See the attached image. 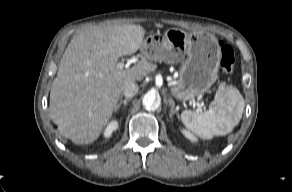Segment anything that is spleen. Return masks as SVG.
I'll return each instance as SVG.
<instances>
[{
	"label": "spleen",
	"instance_id": "spleen-1",
	"mask_svg": "<svg viewBox=\"0 0 292 192\" xmlns=\"http://www.w3.org/2000/svg\"><path fill=\"white\" fill-rule=\"evenodd\" d=\"M244 106V98L239 90L229 85L217 90L208 110L202 113L185 110L181 113V121L201 139H212L232 132L240 122Z\"/></svg>",
	"mask_w": 292,
	"mask_h": 192
}]
</instances>
